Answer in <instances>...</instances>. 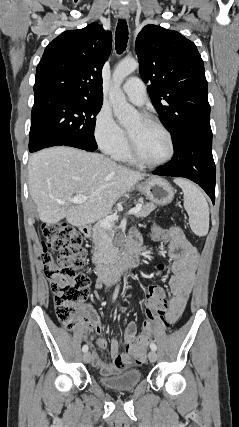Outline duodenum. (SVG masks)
Returning <instances> with one entry per match:
<instances>
[{
	"label": "duodenum",
	"mask_w": 239,
	"mask_h": 427,
	"mask_svg": "<svg viewBox=\"0 0 239 427\" xmlns=\"http://www.w3.org/2000/svg\"><path fill=\"white\" fill-rule=\"evenodd\" d=\"M82 232L86 237L91 235V229L87 226L82 227ZM139 254L140 245L135 243L114 263L105 262L95 254L92 258L94 272L104 282L116 281L125 271L138 264Z\"/></svg>",
	"instance_id": "410a0bca"
}]
</instances>
